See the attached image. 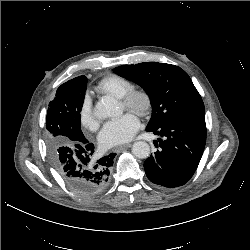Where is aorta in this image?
I'll return each mask as SVG.
<instances>
[{"instance_id":"1","label":"aorta","mask_w":250,"mask_h":250,"mask_svg":"<svg viewBox=\"0 0 250 250\" xmlns=\"http://www.w3.org/2000/svg\"><path fill=\"white\" fill-rule=\"evenodd\" d=\"M94 114L97 118L106 119L119 114L116 100L110 97L101 99L95 106ZM132 154L139 159H146L150 155V146L145 141H137L132 146Z\"/></svg>"}]
</instances>
